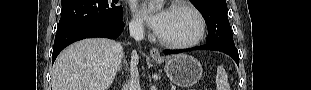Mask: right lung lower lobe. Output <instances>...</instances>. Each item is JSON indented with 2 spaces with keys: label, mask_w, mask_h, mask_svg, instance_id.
<instances>
[{
  "label": "right lung lower lobe",
  "mask_w": 311,
  "mask_h": 90,
  "mask_svg": "<svg viewBox=\"0 0 311 90\" xmlns=\"http://www.w3.org/2000/svg\"><path fill=\"white\" fill-rule=\"evenodd\" d=\"M124 29V22H100L91 21L83 22L62 30H57L54 47L52 62L55 61L58 54L69 44L92 37H106L114 39L119 37Z\"/></svg>",
  "instance_id": "1"
}]
</instances>
